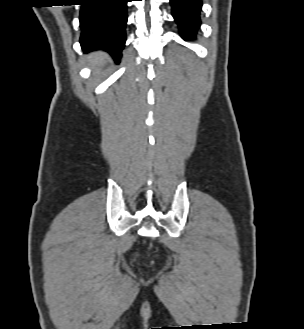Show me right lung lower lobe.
I'll use <instances>...</instances> for the list:
<instances>
[{
	"label": "right lung lower lobe",
	"mask_w": 304,
	"mask_h": 329,
	"mask_svg": "<svg viewBox=\"0 0 304 329\" xmlns=\"http://www.w3.org/2000/svg\"><path fill=\"white\" fill-rule=\"evenodd\" d=\"M80 44L84 52L105 50L119 61L126 42L129 0H80Z\"/></svg>",
	"instance_id": "obj_1"
}]
</instances>
